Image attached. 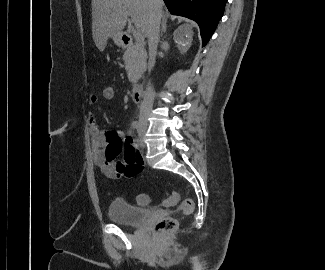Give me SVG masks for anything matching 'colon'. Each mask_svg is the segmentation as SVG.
Returning <instances> with one entry per match:
<instances>
[{
    "label": "colon",
    "instance_id": "1",
    "mask_svg": "<svg viewBox=\"0 0 325 270\" xmlns=\"http://www.w3.org/2000/svg\"><path fill=\"white\" fill-rule=\"evenodd\" d=\"M101 95L103 100L107 102H112L116 99V91L112 86H105L102 90ZM137 202L140 205H147L149 203L148 195L139 194L137 196ZM163 204L167 208L178 205L177 210L184 215L191 214L194 209V203L192 199H184L181 202H179V195L176 192L169 193L165 197ZM177 227H178V221L176 218L165 217L155 225V231L157 233H166V232L174 231Z\"/></svg>",
    "mask_w": 325,
    "mask_h": 270
}]
</instances>
